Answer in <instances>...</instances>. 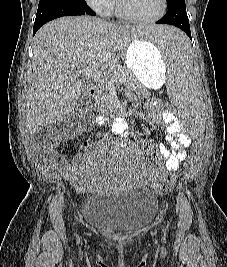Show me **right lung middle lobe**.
Masks as SVG:
<instances>
[{
    "label": "right lung middle lobe",
    "mask_w": 227,
    "mask_h": 267,
    "mask_svg": "<svg viewBox=\"0 0 227 267\" xmlns=\"http://www.w3.org/2000/svg\"><path fill=\"white\" fill-rule=\"evenodd\" d=\"M40 2H54V3H67V4H82L85 0H40Z\"/></svg>",
    "instance_id": "dd1d6c3e"
}]
</instances>
